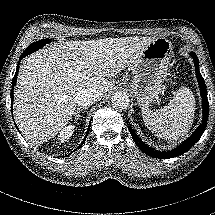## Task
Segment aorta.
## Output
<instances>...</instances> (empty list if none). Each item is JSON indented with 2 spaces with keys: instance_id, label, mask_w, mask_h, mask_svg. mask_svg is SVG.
I'll list each match as a JSON object with an SVG mask.
<instances>
[{
  "instance_id": "762f6f07",
  "label": "aorta",
  "mask_w": 215,
  "mask_h": 215,
  "mask_svg": "<svg viewBox=\"0 0 215 215\" xmlns=\"http://www.w3.org/2000/svg\"><path fill=\"white\" fill-rule=\"evenodd\" d=\"M111 103L116 110H124L129 107L130 99L126 95L115 94Z\"/></svg>"
}]
</instances>
